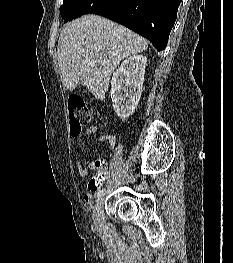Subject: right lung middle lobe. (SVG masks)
<instances>
[{"label": "right lung middle lobe", "mask_w": 233, "mask_h": 263, "mask_svg": "<svg viewBox=\"0 0 233 263\" xmlns=\"http://www.w3.org/2000/svg\"><path fill=\"white\" fill-rule=\"evenodd\" d=\"M122 0H64L60 14L64 22L84 14H95L102 10L116 8Z\"/></svg>", "instance_id": "right-lung-middle-lobe-1"}]
</instances>
